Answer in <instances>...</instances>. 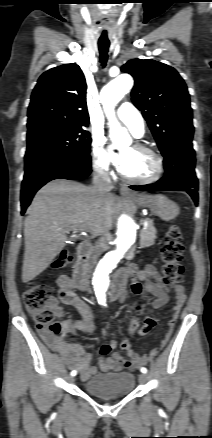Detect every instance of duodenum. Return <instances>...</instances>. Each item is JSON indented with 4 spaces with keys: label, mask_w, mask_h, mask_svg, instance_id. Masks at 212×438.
<instances>
[{
    "label": "duodenum",
    "mask_w": 212,
    "mask_h": 438,
    "mask_svg": "<svg viewBox=\"0 0 212 438\" xmlns=\"http://www.w3.org/2000/svg\"><path fill=\"white\" fill-rule=\"evenodd\" d=\"M91 251V245L88 242H82L77 250V261L74 267V284L81 291L87 290V268ZM124 287L123 280L115 276L112 281L109 297L111 300H117L121 297Z\"/></svg>",
    "instance_id": "410a0bca"
}]
</instances>
